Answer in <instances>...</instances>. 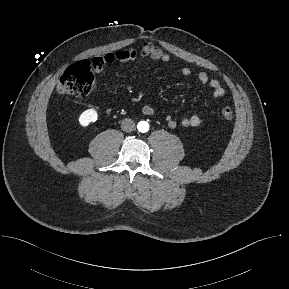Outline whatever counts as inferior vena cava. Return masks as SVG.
Listing matches in <instances>:
<instances>
[{
    "label": "inferior vena cava",
    "instance_id": "1",
    "mask_svg": "<svg viewBox=\"0 0 289 289\" xmlns=\"http://www.w3.org/2000/svg\"><path fill=\"white\" fill-rule=\"evenodd\" d=\"M121 129L124 132H132L135 129V123L132 119H124L121 123Z\"/></svg>",
    "mask_w": 289,
    "mask_h": 289
}]
</instances>
